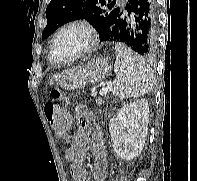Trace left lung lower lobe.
Listing matches in <instances>:
<instances>
[{
	"mask_svg": "<svg viewBox=\"0 0 197 181\" xmlns=\"http://www.w3.org/2000/svg\"><path fill=\"white\" fill-rule=\"evenodd\" d=\"M157 26L156 0H128L100 40L123 43L149 57L157 50Z\"/></svg>",
	"mask_w": 197,
	"mask_h": 181,
	"instance_id": "left-lung-lower-lobe-1",
	"label": "left lung lower lobe"
}]
</instances>
